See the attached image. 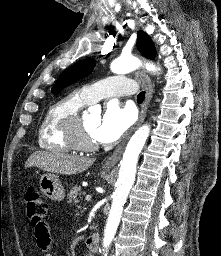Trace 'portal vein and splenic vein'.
<instances>
[{"mask_svg":"<svg viewBox=\"0 0 221 256\" xmlns=\"http://www.w3.org/2000/svg\"><path fill=\"white\" fill-rule=\"evenodd\" d=\"M86 201H90L91 200V196L90 195H86Z\"/></svg>","mask_w":221,"mask_h":256,"instance_id":"18ae733b","label":"portal vein and splenic vein"}]
</instances>
